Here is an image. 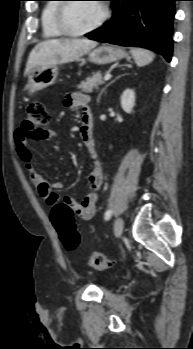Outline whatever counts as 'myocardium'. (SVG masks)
<instances>
[{
    "mask_svg": "<svg viewBox=\"0 0 193 349\" xmlns=\"http://www.w3.org/2000/svg\"><path fill=\"white\" fill-rule=\"evenodd\" d=\"M66 2H61L57 5L54 15V23L56 28L62 33V35L69 36V37H79L86 34H89L98 28H100L109 18V9L105 4H100L102 7V14L100 18L90 27L75 31L69 28L67 21H66V12L68 7L72 4L70 2L71 0H63Z\"/></svg>",
    "mask_w": 193,
    "mask_h": 349,
    "instance_id": "f54148a6",
    "label": "myocardium"
}]
</instances>
